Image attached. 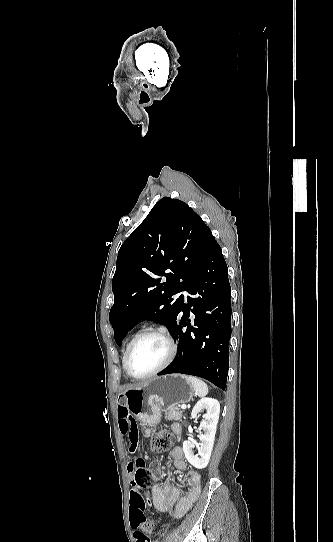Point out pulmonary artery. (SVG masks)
<instances>
[{"mask_svg":"<svg viewBox=\"0 0 333 542\" xmlns=\"http://www.w3.org/2000/svg\"><path fill=\"white\" fill-rule=\"evenodd\" d=\"M178 296H179V294H176V295H175V297H178Z\"/></svg>","mask_w":333,"mask_h":542,"instance_id":"e3ab8cb5","label":"pulmonary artery"}]
</instances>
